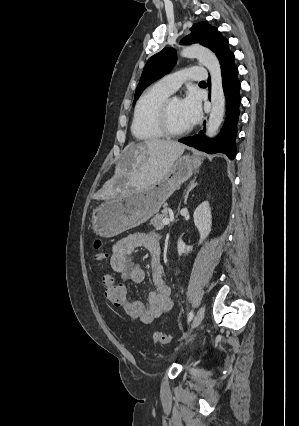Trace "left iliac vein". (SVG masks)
<instances>
[{
	"label": "left iliac vein",
	"instance_id": "left-iliac-vein-1",
	"mask_svg": "<svg viewBox=\"0 0 299 426\" xmlns=\"http://www.w3.org/2000/svg\"><path fill=\"white\" fill-rule=\"evenodd\" d=\"M204 315H205V307L201 306L192 321L191 329H190L191 331L199 326V324L202 322L204 318Z\"/></svg>",
	"mask_w": 299,
	"mask_h": 426
}]
</instances>
